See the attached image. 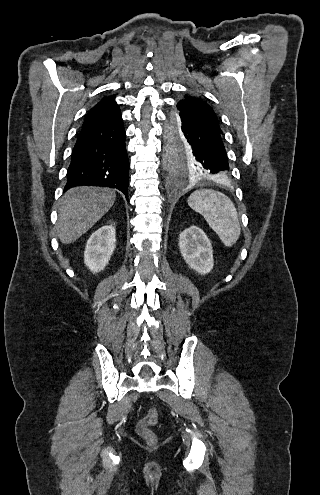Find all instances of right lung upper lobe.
<instances>
[{"mask_svg":"<svg viewBox=\"0 0 320 495\" xmlns=\"http://www.w3.org/2000/svg\"><path fill=\"white\" fill-rule=\"evenodd\" d=\"M121 119V111L115 101V95L105 96L88 111L81 129Z\"/></svg>","mask_w":320,"mask_h":495,"instance_id":"obj_1","label":"right lung upper lobe"}]
</instances>
